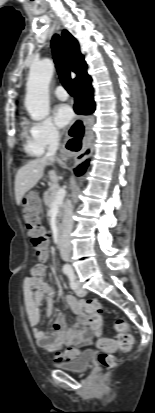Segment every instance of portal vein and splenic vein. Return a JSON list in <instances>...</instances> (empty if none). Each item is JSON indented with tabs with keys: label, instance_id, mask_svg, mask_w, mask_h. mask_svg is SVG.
I'll use <instances>...</instances> for the list:
<instances>
[{
	"label": "portal vein and splenic vein",
	"instance_id": "obj_1",
	"mask_svg": "<svg viewBox=\"0 0 155 413\" xmlns=\"http://www.w3.org/2000/svg\"><path fill=\"white\" fill-rule=\"evenodd\" d=\"M66 196V190L63 188H60L57 193H56V197H55V204H59L61 202H63L64 198Z\"/></svg>",
	"mask_w": 155,
	"mask_h": 413
}]
</instances>
